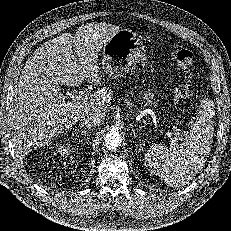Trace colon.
<instances>
[{
  "mask_svg": "<svg viewBox=\"0 0 231 231\" xmlns=\"http://www.w3.org/2000/svg\"><path fill=\"white\" fill-rule=\"evenodd\" d=\"M192 58V52L184 48H175L170 53V60L183 78V82L176 88V96L183 103L189 102L193 95L190 81Z\"/></svg>",
  "mask_w": 231,
  "mask_h": 231,
  "instance_id": "1",
  "label": "colon"
}]
</instances>
